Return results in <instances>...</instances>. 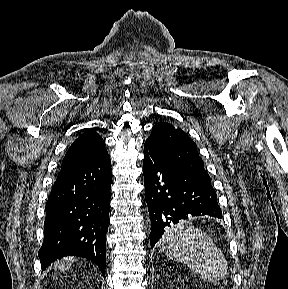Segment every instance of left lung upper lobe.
I'll list each match as a JSON object with an SVG mask.
<instances>
[{
	"instance_id": "1",
	"label": "left lung upper lobe",
	"mask_w": 288,
	"mask_h": 289,
	"mask_svg": "<svg viewBox=\"0 0 288 289\" xmlns=\"http://www.w3.org/2000/svg\"><path fill=\"white\" fill-rule=\"evenodd\" d=\"M146 142L170 163L210 182L196 144L182 129L159 122L153 127Z\"/></svg>"
}]
</instances>
